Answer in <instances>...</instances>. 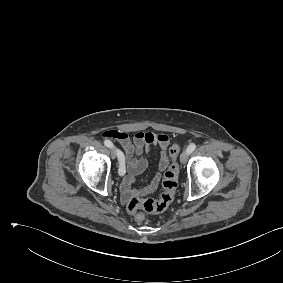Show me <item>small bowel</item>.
<instances>
[{"mask_svg":"<svg viewBox=\"0 0 283 283\" xmlns=\"http://www.w3.org/2000/svg\"><path fill=\"white\" fill-rule=\"evenodd\" d=\"M102 135L105 138L116 140L124 150L127 176L120 186L123 201L127 202L133 197H143L154 192L159 184L162 172L166 170L171 160L169 137L162 133L138 132L131 139L126 133L118 130H107ZM154 145L161 148L158 171L142 188L133 189L132 185L136 181V176L141 174L148 165L145 154Z\"/></svg>","mask_w":283,"mask_h":283,"instance_id":"1","label":"small bowel"}]
</instances>
